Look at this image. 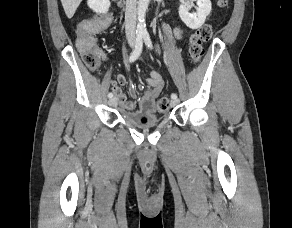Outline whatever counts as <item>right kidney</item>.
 <instances>
[{
  "label": "right kidney",
  "mask_w": 292,
  "mask_h": 228,
  "mask_svg": "<svg viewBox=\"0 0 292 228\" xmlns=\"http://www.w3.org/2000/svg\"><path fill=\"white\" fill-rule=\"evenodd\" d=\"M87 4L96 13H106L110 7L109 0H88Z\"/></svg>",
  "instance_id": "1"
}]
</instances>
